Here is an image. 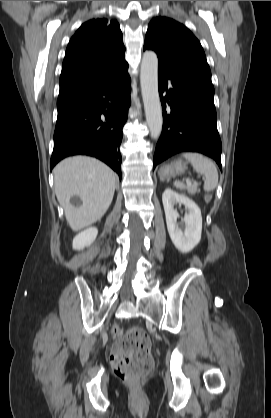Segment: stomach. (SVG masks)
Listing matches in <instances>:
<instances>
[{
    "label": "stomach",
    "mask_w": 271,
    "mask_h": 418,
    "mask_svg": "<svg viewBox=\"0 0 271 418\" xmlns=\"http://www.w3.org/2000/svg\"><path fill=\"white\" fill-rule=\"evenodd\" d=\"M186 168V164L179 160L174 162L173 164L161 168L159 175L162 178H168L172 175L184 172Z\"/></svg>",
    "instance_id": "stomach-1"
}]
</instances>
